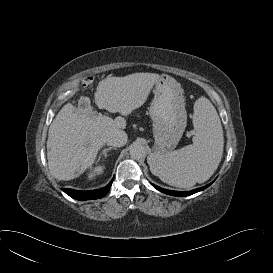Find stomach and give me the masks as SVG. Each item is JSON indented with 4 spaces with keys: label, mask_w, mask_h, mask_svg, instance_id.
Segmentation results:
<instances>
[{
    "label": "stomach",
    "mask_w": 273,
    "mask_h": 273,
    "mask_svg": "<svg viewBox=\"0 0 273 273\" xmlns=\"http://www.w3.org/2000/svg\"><path fill=\"white\" fill-rule=\"evenodd\" d=\"M153 92L149 114L153 122L154 149L157 153H167L177 146L187 126L183 90L173 77L163 74Z\"/></svg>",
    "instance_id": "stomach-1"
}]
</instances>
